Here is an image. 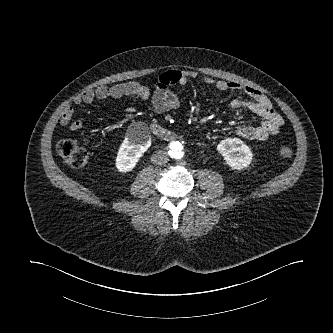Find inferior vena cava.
I'll use <instances>...</instances> for the list:
<instances>
[{
  "label": "inferior vena cava",
  "mask_w": 333,
  "mask_h": 333,
  "mask_svg": "<svg viewBox=\"0 0 333 333\" xmlns=\"http://www.w3.org/2000/svg\"><path fill=\"white\" fill-rule=\"evenodd\" d=\"M151 161L157 165H164L169 161V156L165 151H157L152 155Z\"/></svg>",
  "instance_id": "inferior-vena-cava-1"
}]
</instances>
